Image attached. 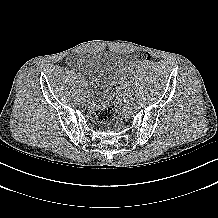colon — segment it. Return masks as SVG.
<instances>
[{
    "instance_id": "colon-1",
    "label": "colon",
    "mask_w": 218,
    "mask_h": 218,
    "mask_svg": "<svg viewBox=\"0 0 218 218\" xmlns=\"http://www.w3.org/2000/svg\"><path fill=\"white\" fill-rule=\"evenodd\" d=\"M136 60L140 63H148L151 59L150 54L146 51H139L135 55ZM97 120L102 124H109L115 117V112L110 104H101L95 112Z\"/></svg>"
}]
</instances>
